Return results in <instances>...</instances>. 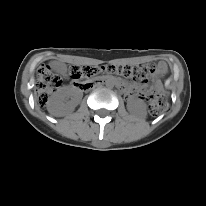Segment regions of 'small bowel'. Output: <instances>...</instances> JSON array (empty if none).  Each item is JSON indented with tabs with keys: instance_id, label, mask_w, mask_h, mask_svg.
<instances>
[{
	"instance_id": "small-bowel-1",
	"label": "small bowel",
	"mask_w": 206,
	"mask_h": 206,
	"mask_svg": "<svg viewBox=\"0 0 206 206\" xmlns=\"http://www.w3.org/2000/svg\"><path fill=\"white\" fill-rule=\"evenodd\" d=\"M167 70V65L165 62H160L155 70L156 75L164 74Z\"/></svg>"
}]
</instances>
